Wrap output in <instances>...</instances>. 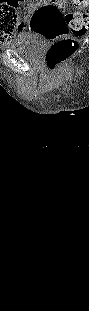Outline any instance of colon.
<instances>
[{
    "instance_id": "5ec220e1",
    "label": "colon",
    "mask_w": 89,
    "mask_h": 311,
    "mask_svg": "<svg viewBox=\"0 0 89 311\" xmlns=\"http://www.w3.org/2000/svg\"><path fill=\"white\" fill-rule=\"evenodd\" d=\"M72 3L78 10L66 12V0H49L38 7L31 18L32 32L52 41L46 63L53 71L60 69L78 50V39L88 29V0H72ZM19 24L16 9L9 7L1 10L0 27L6 38H12V32Z\"/></svg>"
}]
</instances>
